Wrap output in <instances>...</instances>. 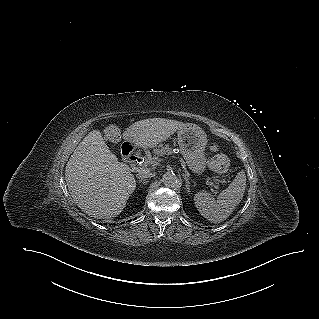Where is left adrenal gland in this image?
I'll return each mask as SVG.
<instances>
[{"label":"left adrenal gland","instance_id":"1","mask_svg":"<svg viewBox=\"0 0 319 319\" xmlns=\"http://www.w3.org/2000/svg\"><path fill=\"white\" fill-rule=\"evenodd\" d=\"M185 178V180H186V189H187V191L189 192L190 191V188H189V179L185 176L184 177Z\"/></svg>","mask_w":319,"mask_h":319}]
</instances>
